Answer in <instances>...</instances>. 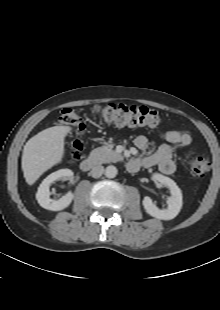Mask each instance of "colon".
<instances>
[{"mask_svg": "<svg viewBox=\"0 0 220 310\" xmlns=\"http://www.w3.org/2000/svg\"><path fill=\"white\" fill-rule=\"evenodd\" d=\"M98 113L108 123L118 126L155 128L161 124V117L157 111L142 106H128L123 104H106L98 107ZM59 122L72 130L73 137L69 142V157L79 160L82 156V134L85 124L81 117L71 108L61 111ZM190 172L201 176L210 170V162L204 157H192L189 160Z\"/></svg>", "mask_w": 220, "mask_h": 310, "instance_id": "colon-1", "label": "colon"}]
</instances>
